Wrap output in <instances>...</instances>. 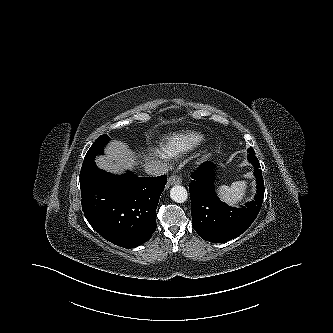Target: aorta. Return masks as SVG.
I'll list each match as a JSON object with an SVG mask.
<instances>
[{
  "instance_id": "obj_1",
  "label": "aorta",
  "mask_w": 333,
  "mask_h": 333,
  "mask_svg": "<svg viewBox=\"0 0 333 333\" xmlns=\"http://www.w3.org/2000/svg\"><path fill=\"white\" fill-rule=\"evenodd\" d=\"M170 197L177 203H184L188 198V193L185 187L175 185L170 190Z\"/></svg>"
}]
</instances>
